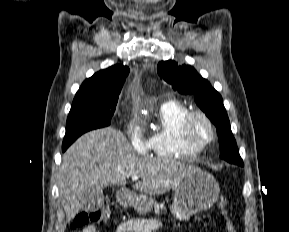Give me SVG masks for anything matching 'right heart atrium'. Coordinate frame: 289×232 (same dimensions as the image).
<instances>
[{
	"label": "right heart atrium",
	"mask_w": 289,
	"mask_h": 232,
	"mask_svg": "<svg viewBox=\"0 0 289 232\" xmlns=\"http://www.w3.org/2000/svg\"><path fill=\"white\" fill-rule=\"evenodd\" d=\"M127 136L133 149L137 153H145L148 148V140L145 138L139 121L133 119L129 122L127 127Z\"/></svg>",
	"instance_id": "obj_1"
}]
</instances>
